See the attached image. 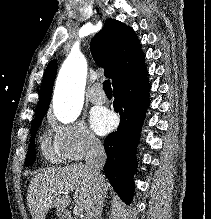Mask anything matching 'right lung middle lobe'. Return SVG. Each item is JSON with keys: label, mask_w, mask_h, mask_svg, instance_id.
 Listing matches in <instances>:
<instances>
[{"label": "right lung middle lobe", "mask_w": 211, "mask_h": 219, "mask_svg": "<svg viewBox=\"0 0 211 219\" xmlns=\"http://www.w3.org/2000/svg\"><path fill=\"white\" fill-rule=\"evenodd\" d=\"M44 114H40L37 115L33 122H32V127H31V140H30V145H29V149L27 152V156H26V160H25V166H31L34 162H35V135L36 132L39 128V126L41 125V120H42V116Z\"/></svg>", "instance_id": "obj_1"}]
</instances>
